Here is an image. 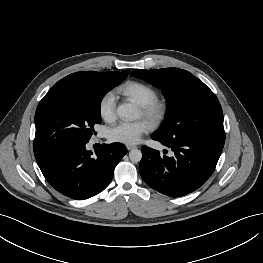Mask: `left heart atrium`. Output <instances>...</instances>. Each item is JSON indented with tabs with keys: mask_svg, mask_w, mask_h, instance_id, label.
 Segmentation results:
<instances>
[{
	"mask_svg": "<svg viewBox=\"0 0 263 263\" xmlns=\"http://www.w3.org/2000/svg\"><path fill=\"white\" fill-rule=\"evenodd\" d=\"M150 128L151 125L144 120L121 122L109 130L108 136L111 141L135 145Z\"/></svg>",
	"mask_w": 263,
	"mask_h": 263,
	"instance_id": "obj_1",
	"label": "left heart atrium"
}]
</instances>
